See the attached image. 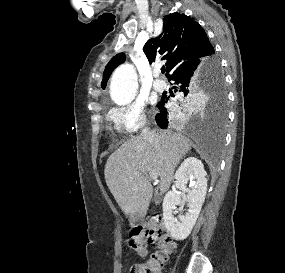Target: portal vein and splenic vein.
Here are the masks:
<instances>
[{
    "label": "portal vein and splenic vein",
    "instance_id": "portal-vein-and-splenic-vein-1",
    "mask_svg": "<svg viewBox=\"0 0 285 273\" xmlns=\"http://www.w3.org/2000/svg\"><path fill=\"white\" fill-rule=\"evenodd\" d=\"M149 176L151 179L156 180L158 178V174L156 171H150ZM132 180V179H131Z\"/></svg>",
    "mask_w": 285,
    "mask_h": 273
}]
</instances>
